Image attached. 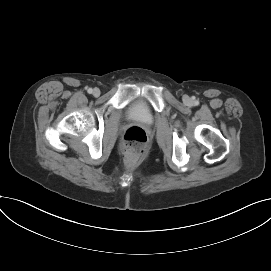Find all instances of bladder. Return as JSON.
Wrapping results in <instances>:
<instances>
[{
  "label": "bladder",
  "mask_w": 271,
  "mask_h": 271,
  "mask_svg": "<svg viewBox=\"0 0 271 271\" xmlns=\"http://www.w3.org/2000/svg\"><path fill=\"white\" fill-rule=\"evenodd\" d=\"M128 117L143 123H151L153 114L149 107L141 101L133 103L128 109Z\"/></svg>",
  "instance_id": "31cf9c89"
}]
</instances>
